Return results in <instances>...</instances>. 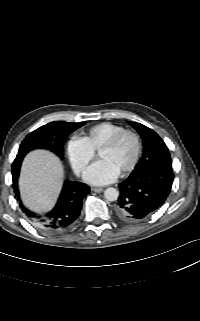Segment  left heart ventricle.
I'll use <instances>...</instances> for the list:
<instances>
[{
    "label": "left heart ventricle",
    "mask_w": 200,
    "mask_h": 321,
    "mask_svg": "<svg viewBox=\"0 0 200 321\" xmlns=\"http://www.w3.org/2000/svg\"><path fill=\"white\" fill-rule=\"evenodd\" d=\"M135 148L134 139L131 136H125L114 148L101 150L98 153V157L110 162L121 172L131 163L135 154Z\"/></svg>",
    "instance_id": "1"
}]
</instances>
